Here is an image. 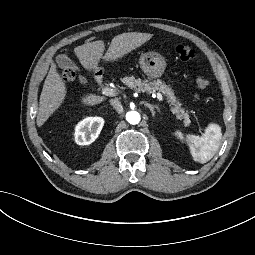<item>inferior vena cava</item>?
I'll use <instances>...</instances> for the list:
<instances>
[{
	"mask_svg": "<svg viewBox=\"0 0 255 255\" xmlns=\"http://www.w3.org/2000/svg\"><path fill=\"white\" fill-rule=\"evenodd\" d=\"M110 104H111V106H113L118 112H123V106H122V104L118 101V100H116V99H111L110 100Z\"/></svg>",
	"mask_w": 255,
	"mask_h": 255,
	"instance_id": "inferior-vena-cava-1",
	"label": "inferior vena cava"
}]
</instances>
